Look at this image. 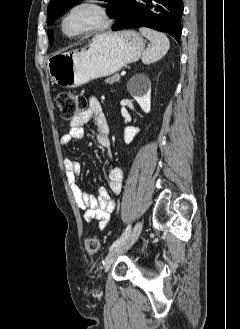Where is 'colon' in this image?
Listing matches in <instances>:
<instances>
[{
	"label": "colon",
	"mask_w": 240,
	"mask_h": 329,
	"mask_svg": "<svg viewBox=\"0 0 240 329\" xmlns=\"http://www.w3.org/2000/svg\"><path fill=\"white\" fill-rule=\"evenodd\" d=\"M61 116L65 120H73L87 106V101L82 95L64 91L57 97ZM85 248L88 253L96 255L99 252V242L96 237H88L85 240Z\"/></svg>",
	"instance_id": "5ec220e1"
}]
</instances>
